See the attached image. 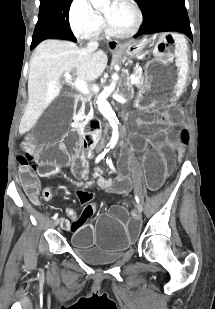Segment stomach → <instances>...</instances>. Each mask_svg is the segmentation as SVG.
<instances>
[{
	"label": "stomach",
	"mask_w": 215,
	"mask_h": 309,
	"mask_svg": "<svg viewBox=\"0 0 215 309\" xmlns=\"http://www.w3.org/2000/svg\"><path fill=\"white\" fill-rule=\"evenodd\" d=\"M153 46L154 58L145 66L139 99L175 100L182 93L188 75V46L181 34L165 32L142 37L122 45L120 51L131 57L143 56Z\"/></svg>",
	"instance_id": "0dacf381"
}]
</instances>
